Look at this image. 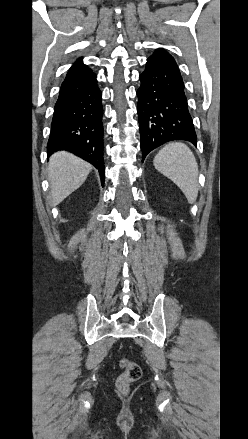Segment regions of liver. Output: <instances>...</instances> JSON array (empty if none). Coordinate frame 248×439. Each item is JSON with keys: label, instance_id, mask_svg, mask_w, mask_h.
<instances>
[{"label": "liver", "instance_id": "1", "mask_svg": "<svg viewBox=\"0 0 248 439\" xmlns=\"http://www.w3.org/2000/svg\"><path fill=\"white\" fill-rule=\"evenodd\" d=\"M91 169V164L68 152L60 151L52 155L48 165L51 205H58L78 189Z\"/></svg>", "mask_w": 248, "mask_h": 439}]
</instances>
